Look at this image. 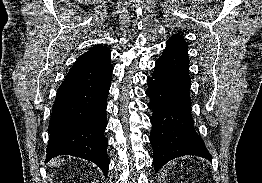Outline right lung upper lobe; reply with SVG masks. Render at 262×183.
Returning <instances> with one entry per match:
<instances>
[{"mask_svg": "<svg viewBox=\"0 0 262 183\" xmlns=\"http://www.w3.org/2000/svg\"><path fill=\"white\" fill-rule=\"evenodd\" d=\"M111 52L104 46H95L82 54L74 65L100 66L110 63Z\"/></svg>", "mask_w": 262, "mask_h": 183, "instance_id": "right-lung-upper-lobe-1", "label": "right lung upper lobe"}]
</instances>
